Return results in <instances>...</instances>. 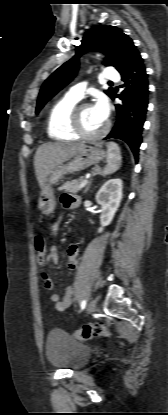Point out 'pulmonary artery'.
I'll list each match as a JSON object with an SVG mask.
<instances>
[{"instance_id": "obj_1", "label": "pulmonary artery", "mask_w": 168, "mask_h": 415, "mask_svg": "<svg viewBox=\"0 0 168 415\" xmlns=\"http://www.w3.org/2000/svg\"><path fill=\"white\" fill-rule=\"evenodd\" d=\"M105 78L110 81H118L120 76L115 69L108 67L105 69ZM85 87V82L78 83L72 86L66 95L76 100H80L84 95Z\"/></svg>"}]
</instances>
